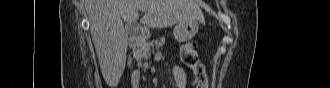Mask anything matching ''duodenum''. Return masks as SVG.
Masks as SVG:
<instances>
[{"label": "duodenum", "mask_w": 330, "mask_h": 88, "mask_svg": "<svg viewBox=\"0 0 330 88\" xmlns=\"http://www.w3.org/2000/svg\"><path fill=\"white\" fill-rule=\"evenodd\" d=\"M148 38V35L145 33L143 29H139L137 33H135L129 41V47H130V60H132V51L137 46L141 45L146 39ZM134 84L138 83V78L133 77L132 78Z\"/></svg>", "instance_id": "410a0bca"}]
</instances>
